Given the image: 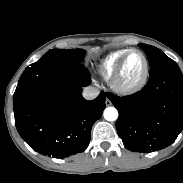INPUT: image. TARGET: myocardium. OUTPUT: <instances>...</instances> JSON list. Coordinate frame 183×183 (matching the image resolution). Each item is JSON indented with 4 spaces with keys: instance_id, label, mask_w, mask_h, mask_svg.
I'll return each instance as SVG.
<instances>
[{
    "instance_id": "1",
    "label": "myocardium",
    "mask_w": 183,
    "mask_h": 183,
    "mask_svg": "<svg viewBox=\"0 0 183 183\" xmlns=\"http://www.w3.org/2000/svg\"><path fill=\"white\" fill-rule=\"evenodd\" d=\"M133 53L139 54L143 60L142 73L135 82L125 83L122 80V72H123L127 58ZM148 75H149V63L146 55L139 49H130L122 57L117 67L115 68L110 79V85L115 92L121 95H131L138 92L144 87V85L147 82Z\"/></svg>"
}]
</instances>
